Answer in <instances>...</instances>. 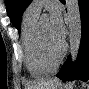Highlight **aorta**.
Masks as SVG:
<instances>
[{"instance_id":"obj_1","label":"aorta","mask_w":89,"mask_h":89,"mask_svg":"<svg viewBox=\"0 0 89 89\" xmlns=\"http://www.w3.org/2000/svg\"><path fill=\"white\" fill-rule=\"evenodd\" d=\"M67 5V17L69 23V43H70V52L72 57V63L76 61L80 43H81V15L78 0H66ZM42 19L47 20L48 15L43 14L41 16ZM69 89H73V84L69 82Z\"/></svg>"}]
</instances>
